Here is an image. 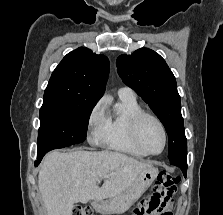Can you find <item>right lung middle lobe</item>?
I'll list each match as a JSON object with an SVG mask.
<instances>
[{
    "label": "right lung middle lobe",
    "mask_w": 223,
    "mask_h": 215,
    "mask_svg": "<svg viewBox=\"0 0 223 215\" xmlns=\"http://www.w3.org/2000/svg\"><path fill=\"white\" fill-rule=\"evenodd\" d=\"M94 106L95 104L43 100L37 154L84 142Z\"/></svg>",
    "instance_id": "1"
}]
</instances>
